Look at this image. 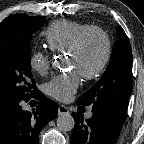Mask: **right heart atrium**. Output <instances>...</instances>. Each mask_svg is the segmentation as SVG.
<instances>
[{
  "mask_svg": "<svg viewBox=\"0 0 144 144\" xmlns=\"http://www.w3.org/2000/svg\"><path fill=\"white\" fill-rule=\"evenodd\" d=\"M29 66L33 71L44 75L50 67L49 56L43 51H34L29 57Z\"/></svg>",
  "mask_w": 144,
  "mask_h": 144,
  "instance_id": "d8ad5b80",
  "label": "right heart atrium"
}]
</instances>
